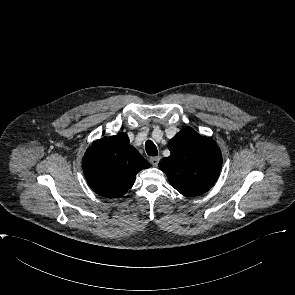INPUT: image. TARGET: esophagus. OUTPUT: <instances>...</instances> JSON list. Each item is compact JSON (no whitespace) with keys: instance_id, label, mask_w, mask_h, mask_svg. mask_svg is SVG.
I'll return each mask as SVG.
<instances>
[{"instance_id":"1","label":"esophagus","mask_w":295,"mask_h":295,"mask_svg":"<svg viewBox=\"0 0 295 295\" xmlns=\"http://www.w3.org/2000/svg\"><path fill=\"white\" fill-rule=\"evenodd\" d=\"M149 161L153 166H157L160 161V156L150 157Z\"/></svg>"}]
</instances>
